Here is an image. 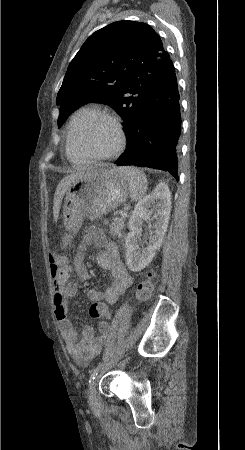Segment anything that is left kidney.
Segmentation results:
<instances>
[{
  "label": "left kidney",
  "instance_id": "5707ae66",
  "mask_svg": "<svg viewBox=\"0 0 245 450\" xmlns=\"http://www.w3.org/2000/svg\"><path fill=\"white\" fill-rule=\"evenodd\" d=\"M171 212V193L165 183H159L153 192L142 198L130 217V232L125 238L126 261L129 270L138 272L144 269L160 249L167 231ZM153 214V216H151ZM155 219L154 231H150L149 242L140 247L139 235L143 221Z\"/></svg>",
  "mask_w": 245,
  "mask_h": 450
}]
</instances>
